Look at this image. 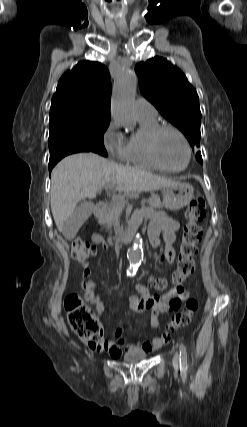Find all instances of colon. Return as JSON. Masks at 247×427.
<instances>
[{"mask_svg":"<svg viewBox=\"0 0 247 427\" xmlns=\"http://www.w3.org/2000/svg\"><path fill=\"white\" fill-rule=\"evenodd\" d=\"M206 216V206L203 199L198 198L191 201L187 207L185 217L186 223L183 228L177 268L170 280L157 278L153 281L157 289H165L169 284L182 286L189 275L194 272V256L197 253V244L201 238L200 223ZM96 248L88 241L76 237L71 242L72 258L78 262H86L96 254ZM64 307L68 322L73 331L85 342L89 348L102 351L107 348V339L104 330L95 314L77 294H70L65 298ZM198 310L196 299H189L185 308L177 312L171 319L170 328H183L193 320Z\"/></svg>","mask_w":247,"mask_h":427,"instance_id":"1","label":"colon"}]
</instances>
